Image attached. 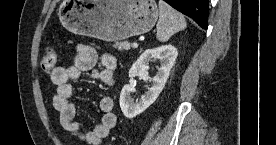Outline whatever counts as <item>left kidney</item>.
I'll return each mask as SVG.
<instances>
[{
	"label": "left kidney",
	"mask_w": 276,
	"mask_h": 145,
	"mask_svg": "<svg viewBox=\"0 0 276 145\" xmlns=\"http://www.w3.org/2000/svg\"><path fill=\"white\" fill-rule=\"evenodd\" d=\"M177 55V49L170 44L147 49L141 54L129 70L130 83L123 87L120 94V107L125 117L129 119L134 118L155 102L165 86ZM156 59L160 61V67L156 75L150 78L148 75V65ZM136 76H139L143 80L151 79L152 85L151 88L141 96V99L134 103L131 99V93L134 91L132 82Z\"/></svg>",
	"instance_id": "obj_1"
}]
</instances>
